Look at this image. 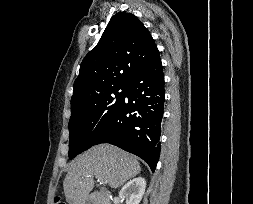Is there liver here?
<instances>
[{
    "label": "liver",
    "instance_id": "6515ba94",
    "mask_svg": "<svg viewBox=\"0 0 253 204\" xmlns=\"http://www.w3.org/2000/svg\"><path fill=\"white\" fill-rule=\"evenodd\" d=\"M141 171L137 158L118 147L101 144L77 156L64 179L68 204H85L94 187V175L111 188H118Z\"/></svg>",
    "mask_w": 253,
    "mask_h": 204
}]
</instances>
